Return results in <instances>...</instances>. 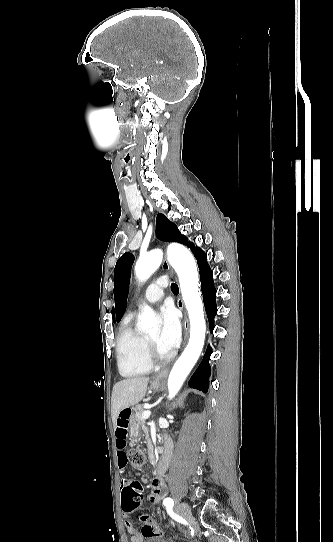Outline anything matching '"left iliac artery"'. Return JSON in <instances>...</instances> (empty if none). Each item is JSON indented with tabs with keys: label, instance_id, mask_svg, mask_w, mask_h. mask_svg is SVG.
Instances as JSON below:
<instances>
[{
	"label": "left iliac artery",
	"instance_id": "1",
	"mask_svg": "<svg viewBox=\"0 0 333 542\" xmlns=\"http://www.w3.org/2000/svg\"><path fill=\"white\" fill-rule=\"evenodd\" d=\"M173 503H174V502H173V500H172L171 498H166V499L163 501V504L166 505V506L169 505V504H170V505H173Z\"/></svg>",
	"mask_w": 333,
	"mask_h": 542
}]
</instances>
